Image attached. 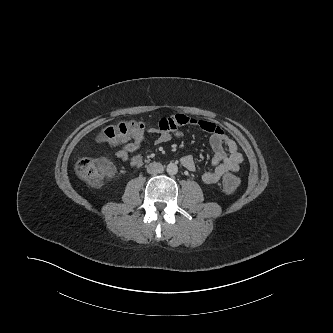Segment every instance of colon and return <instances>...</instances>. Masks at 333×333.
I'll return each instance as SVG.
<instances>
[{
	"instance_id": "5ec220e1",
	"label": "colon",
	"mask_w": 333,
	"mask_h": 333,
	"mask_svg": "<svg viewBox=\"0 0 333 333\" xmlns=\"http://www.w3.org/2000/svg\"><path fill=\"white\" fill-rule=\"evenodd\" d=\"M145 125L139 121H124L108 126L98 136L102 144H120L127 142L144 132ZM78 175L94 187L101 186L115 174L114 164L106 158H81L76 165ZM226 191L232 192L239 186V178L227 174L222 181Z\"/></svg>"
}]
</instances>
